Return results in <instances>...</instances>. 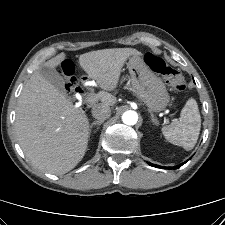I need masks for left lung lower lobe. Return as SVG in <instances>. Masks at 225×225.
I'll return each mask as SVG.
<instances>
[{"instance_id": "obj_1", "label": "left lung lower lobe", "mask_w": 225, "mask_h": 225, "mask_svg": "<svg viewBox=\"0 0 225 225\" xmlns=\"http://www.w3.org/2000/svg\"><path fill=\"white\" fill-rule=\"evenodd\" d=\"M187 162V161H186ZM186 162H184V163H186ZM183 163V164H184ZM151 166H156V165H154V164H151V163H149ZM156 167H158V166H156ZM178 168V167H177ZM170 169H172L171 167H170Z\"/></svg>"}]
</instances>
